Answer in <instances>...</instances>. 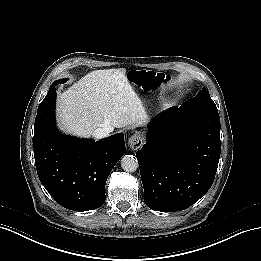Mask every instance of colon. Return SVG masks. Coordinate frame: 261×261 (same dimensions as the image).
<instances>
[{
	"instance_id": "1",
	"label": "colon",
	"mask_w": 261,
	"mask_h": 261,
	"mask_svg": "<svg viewBox=\"0 0 261 261\" xmlns=\"http://www.w3.org/2000/svg\"><path fill=\"white\" fill-rule=\"evenodd\" d=\"M141 84L151 90L159 89L161 83L164 81L163 75L152 71H141L137 73Z\"/></svg>"
}]
</instances>
